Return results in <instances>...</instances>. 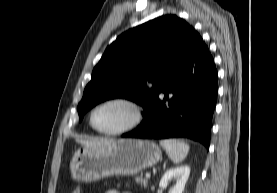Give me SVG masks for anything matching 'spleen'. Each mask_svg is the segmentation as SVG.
I'll return each instance as SVG.
<instances>
[{"instance_id": "obj_1", "label": "spleen", "mask_w": 277, "mask_h": 193, "mask_svg": "<svg viewBox=\"0 0 277 193\" xmlns=\"http://www.w3.org/2000/svg\"><path fill=\"white\" fill-rule=\"evenodd\" d=\"M160 145L174 163L182 162L189 152V145L176 139L161 140Z\"/></svg>"}]
</instances>
